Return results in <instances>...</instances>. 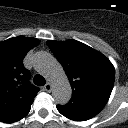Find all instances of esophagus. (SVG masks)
I'll list each match as a JSON object with an SVG mask.
<instances>
[{
	"label": "esophagus",
	"mask_w": 128,
	"mask_h": 128,
	"mask_svg": "<svg viewBox=\"0 0 128 128\" xmlns=\"http://www.w3.org/2000/svg\"><path fill=\"white\" fill-rule=\"evenodd\" d=\"M44 89H45V91H47V92H51V90H52V85H51V83H46L45 84V86H44Z\"/></svg>",
	"instance_id": "esophagus-1"
}]
</instances>
